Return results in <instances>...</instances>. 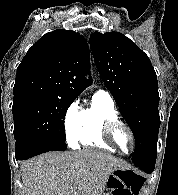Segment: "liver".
I'll use <instances>...</instances> for the list:
<instances>
[{
	"mask_svg": "<svg viewBox=\"0 0 178 195\" xmlns=\"http://www.w3.org/2000/svg\"><path fill=\"white\" fill-rule=\"evenodd\" d=\"M116 169L128 167L103 152L45 153L22 163L23 195H103Z\"/></svg>",
	"mask_w": 178,
	"mask_h": 195,
	"instance_id": "obj_1",
	"label": "liver"
}]
</instances>
